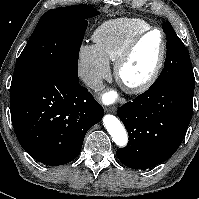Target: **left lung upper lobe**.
Instances as JSON below:
<instances>
[{
    "instance_id": "obj_1",
    "label": "left lung upper lobe",
    "mask_w": 199,
    "mask_h": 199,
    "mask_svg": "<svg viewBox=\"0 0 199 199\" xmlns=\"http://www.w3.org/2000/svg\"><path fill=\"white\" fill-rule=\"evenodd\" d=\"M163 31L167 39L166 60L160 76L151 87L156 88L180 80L195 81L189 53L168 21L163 23Z\"/></svg>"
}]
</instances>
